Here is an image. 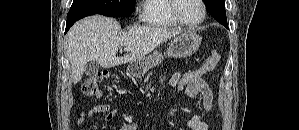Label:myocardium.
I'll return each instance as SVG.
<instances>
[{
    "label": "myocardium",
    "instance_id": "obj_1",
    "mask_svg": "<svg viewBox=\"0 0 299 130\" xmlns=\"http://www.w3.org/2000/svg\"><path fill=\"white\" fill-rule=\"evenodd\" d=\"M177 1L178 0H170V12L174 20L179 25H182L187 28H196L203 24L207 16V8L204 0H198L202 8V16L197 22H193V23L187 22L180 17L177 11Z\"/></svg>",
    "mask_w": 299,
    "mask_h": 130
}]
</instances>
